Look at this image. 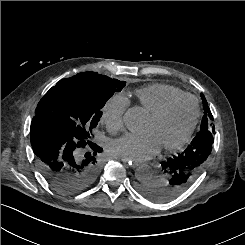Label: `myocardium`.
Segmentation results:
<instances>
[{
	"label": "myocardium",
	"mask_w": 245,
	"mask_h": 245,
	"mask_svg": "<svg viewBox=\"0 0 245 245\" xmlns=\"http://www.w3.org/2000/svg\"><path fill=\"white\" fill-rule=\"evenodd\" d=\"M184 99H191L194 101L195 103V114H194V118L192 120V123L190 124L188 130L186 131V133L183 135V137L176 143L172 144V145H168V146H163L162 150L163 151H176L180 148H182L184 145L187 144V142L190 140L196 126L197 123L199 121V117H200V104H199V100L197 99L196 96L191 95V94H184L181 96H177L174 98L169 99L168 101H166L165 103H163L159 108H157L155 111L151 112L148 114V118L152 119V120H156L161 118L174 104H176L179 101H182Z\"/></svg>",
	"instance_id": "f54148a6"
}]
</instances>
